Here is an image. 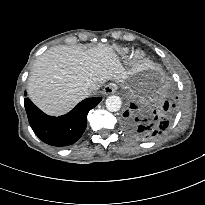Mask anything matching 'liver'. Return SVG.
Returning <instances> with one entry per match:
<instances>
[{
	"label": "liver",
	"mask_w": 205,
	"mask_h": 205,
	"mask_svg": "<svg viewBox=\"0 0 205 205\" xmlns=\"http://www.w3.org/2000/svg\"><path fill=\"white\" fill-rule=\"evenodd\" d=\"M122 69L110 45L52 47L34 62L28 79L29 98L49 115H62L112 79L123 81Z\"/></svg>",
	"instance_id": "liver-1"
}]
</instances>
